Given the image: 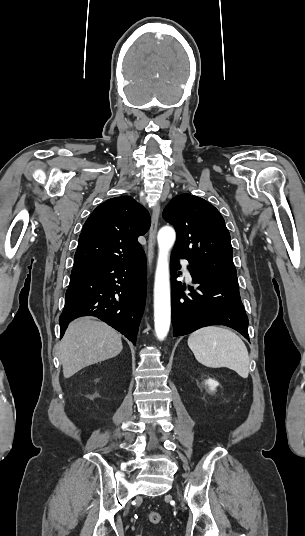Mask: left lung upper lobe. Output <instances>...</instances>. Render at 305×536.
<instances>
[{
	"mask_svg": "<svg viewBox=\"0 0 305 536\" xmlns=\"http://www.w3.org/2000/svg\"><path fill=\"white\" fill-rule=\"evenodd\" d=\"M163 218L176 230L172 254L200 271L237 276L229 231L213 205L194 195H178L165 207Z\"/></svg>",
	"mask_w": 305,
	"mask_h": 536,
	"instance_id": "left-lung-upper-lobe-1",
	"label": "left lung upper lobe"
}]
</instances>
